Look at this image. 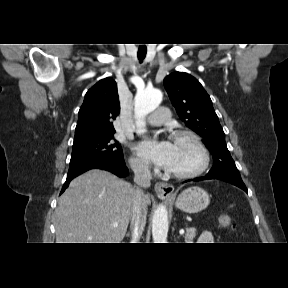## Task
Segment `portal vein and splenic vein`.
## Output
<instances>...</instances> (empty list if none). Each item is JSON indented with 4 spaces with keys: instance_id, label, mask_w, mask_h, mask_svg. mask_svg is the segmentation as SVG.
Wrapping results in <instances>:
<instances>
[{
    "instance_id": "obj_1",
    "label": "portal vein and splenic vein",
    "mask_w": 288,
    "mask_h": 288,
    "mask_svg": "<svg viewBox=\"0 0 288 288\" xmlns=\"http://www.w3.org/2000/svg\"><path fill=\"white\" fill-rule=\"evenodd\" d=\"M118 226V224L117 223H115L114 224V227H117ZM179 233H180V235H183L184 234V230L183 229H181L180 231H179Z\"/></svg>"
}]
</instances>
